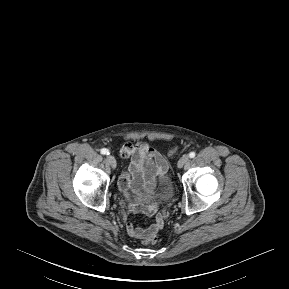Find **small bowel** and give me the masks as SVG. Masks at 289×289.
I'll return each instance as SVG.
<instances>
[{"label": "small bowel", "mask_w": 289, "mask_h": 289, "mask_svg": "<svg viewBox=\"0 0 289 289\" xmlns=\"http://www.w3.org/2000/svg\"><path fill=\"white\" fill-rule=\"evenodd\" d=\"M120 153L122 158L128 160L118 181L119 190L124 195L128 208L132 213L142 212L148 216L155 213L158 202L149 205H143L141 201L147 194L153 192L157 177L165 175L168 171V162L166 158L154 149L150 144L141 142L137 144L125 143ZM165 186L168 184L165 180L162 182ZM131 193L137 195L136 202L132 200ZM162 195L167 196L170 193L168 187L161 190ZM165 203L163 200L160 202ZM162 208L157 215L154 223L146 227H138L130 217L127 221V233L138 240H144L151 234L157 233L164 225V216Z\"/></svg>", "instance_id": "small-bowel-1"}]
</instances>
